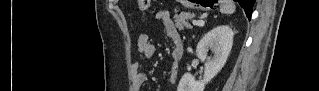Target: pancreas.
<instances>
[{"instance_id": "1", "label": "pancreas", "mask_w": 319, "mask_h": 91, "mask_svg": "<svg viewBox=\"0 0 319 91\" xmlns=\"http://www.w3.org/2000/svg\"><path fill=\"white\" fill-rule=\"evenodd\" d=\"M195 15L192 13L182 12L176 13L174 16L175 25L179 30H184L185 28L191 29V25L188 22L189 19H192Z\"/></svg>"}]
</instances>
